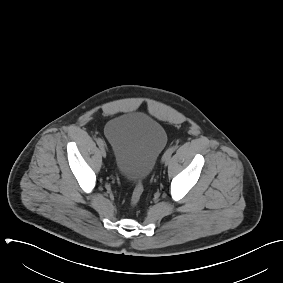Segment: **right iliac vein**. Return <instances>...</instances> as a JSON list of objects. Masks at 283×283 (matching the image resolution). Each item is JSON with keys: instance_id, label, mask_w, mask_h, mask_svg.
Here are the masks:
<instances>
[{"instance_id": "right-iliac-vein-1", "label": "right iliac vein", "mask_w": 283, "mask_h": 283, "mask_svg": "<svg viewBox=\"0 0 283 283\" xmlns=\"http://www.w3.org/2000/svg\"><path fill=\"white\" fill-rule=\"evenodd\" d=\"M100 153H101V155H102L104 158H105L106 155H107L106 150H105L104 147H102V148L100 149Z\"/></svg>"}]
</instances>
